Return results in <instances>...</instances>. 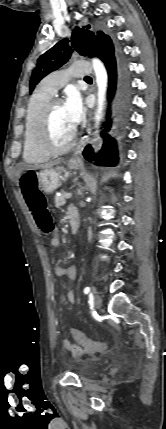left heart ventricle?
<instances>
[{
  "mask_svg": "<svg viewBox=\"0 0 166 429\" xmlns=\"http://www.w3.org/2000/svg\"><path fill=\"white\" fill-rule=\"evenodd\" d=\"M74 126L70 122L66 113L64 103L57 105L51 115L50 133L52 141L56 145H63L68 142Z\"/></svg>",
  "mask_w": 166,
  "mask_h": 429,
  "instance_id": "left-heart-ventricle-1",
  "label": "left heart ventricle"
}]
</instances>
